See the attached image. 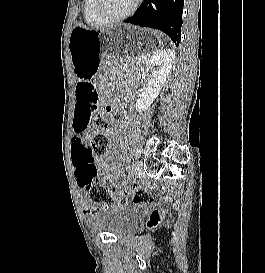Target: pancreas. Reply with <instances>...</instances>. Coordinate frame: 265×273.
Segmentation results:
<instances>
[{"instance_id":"pancreas-1","label":"pancreas","mask_w":265,"mask_h":273,"mask_svg":"<svg viewBox=\"0 0 265 273\" xmlns=\"http://www.w3.org/2000/svg\"><path fill=\"white\" fill-rule=\"evenodd\" d=\"M128 61H130L131 64H134V63H141V62L144 61V59L140 56V57L135 58V59H131V60L129 59Z\"/></svg>"}]
</instances>
